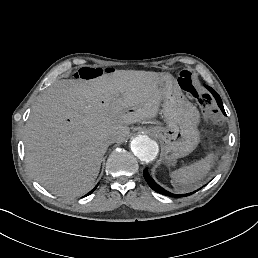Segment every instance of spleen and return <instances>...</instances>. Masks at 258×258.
<instances>
[{"instance_id": "spleen-1", "label": "spleen", "mask_w": 258, "mask_h": 258, "mask_svg": "<svg viewBox=\"0 0 258 258\" xmlns=\"http://www.w3.org/2000/svg\"><path fill=\"white\" fill-rule=\"evenodd\" d=\"M215 154L209 153L204 159L195 161L171 172V182L176 192H190L210 172Z\"/></svg>"}]
</instances>
